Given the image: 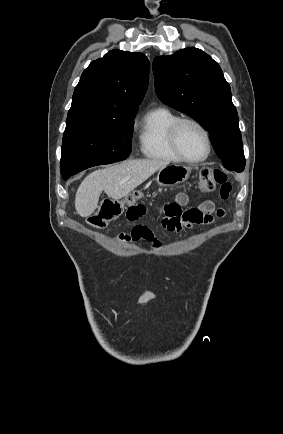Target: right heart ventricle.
Segmentation results:
<instances>
[{
	"instance_id": "1",
	"label": "right heart ventricle",
	"mask_w": 283,
	"mask_h": 434,
	"mask_svg": "<svg viewBox=\"0 0 283 434\" xmlns=\"http://www.w3.org/2000/svg\"><path fill=\"white\" fill-rule=\"evenodd\" d=\"M178 118L164 107L153 109L144 116L140 127V149L145 157L166 163L181 161L169 142V130Z\"/></svg>"
}]
</instances>
